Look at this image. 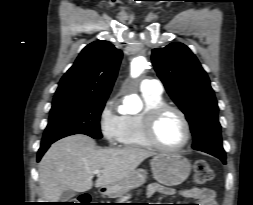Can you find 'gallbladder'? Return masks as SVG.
<instances>
[{"mask_svg":"<svg viewBox=\"0 0 253 205\" xmlns=\"http://www.w3.org/2000/svg\"><path fill=\"white\" fill-rule=\"evenodd\" d=\"M76 195V192L71 190V189H67L65 190L61 196H60V201L61 202H67L68 200H70L71 198H73Z\"/></svg>","mask_w":253,"mask_h":205,"instance_id":"obj_1","label":"gallbladder"}]
</instances>
